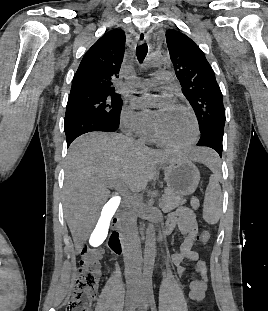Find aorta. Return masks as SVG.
I'll use <instances>...</instances> for the list:
<instances>
[{
    "mask_svg": "<svg viewBox=\"0 0 268 311\" xmlns=\"http://www.w3.org/2000/svg\"><path fill=\"white\" fill-rule=\"evenodd\" d=\"M164 64L162 56L152 54L148 57L145 69L151 70L160 67ZM156 221V214L154 209L150 210L149 224L146 230L145 251H144V274L146 277H151L156 254V233L154 223Z\"/></svg>",
    "mask_w": 268,
    "mask_h": 311,
    "instance_id": "obj_1",
    "label": "aorta"
}]
</instances>
